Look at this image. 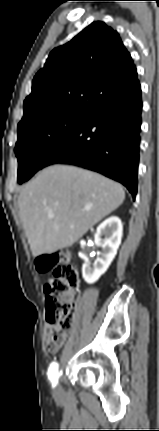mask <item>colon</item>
I'll list each match as a JSON object with an SVG mask.
<instances>
[{"label":"colon","instance_id":"colon-1","mask_svg":"<svg viewBox=\"0 0 159 431\" xmlns=\"http://www.w3.org/2000/svg\"><path fill=\"white\" fill-rule=\"evenodd\" d=\"M36 268L39 273H52L44 286L47 319L58 322L63 328H70L75 309L71 292L77 288L79 278L76 268L70 263L69 254H42L36 259Z\"/></svg>","mask_w":159,"mask_h":431}]
</instances>
